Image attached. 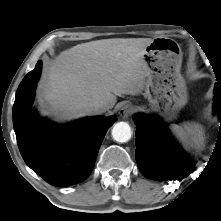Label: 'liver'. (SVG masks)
<instances>
[{"mask_svg": "<svg viewBox=\"0 0 221 221\" xmlns=\"http://www.w3.org/2000/svg\"><path fill=\"white\" fill-rule=\"evenodd\" d=\"M151 38H114L78 44L45 68L38 95L46 113L59 120L88 115L85 108L104 102L111 109L120 94H139L147 68L142 56Z\"/></svg>", "mask_w": 221, "mask_h": 221, "instance_id": "liver-1", "label": "liver"}]
</instances>
